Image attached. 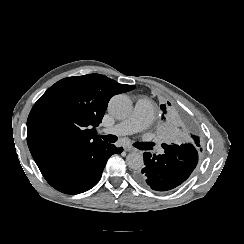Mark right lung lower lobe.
Returning a JSON list of instances; mask_svg holds the SVG:
<instances>
[{"label":"right lung lower lobe","instance_id":"98d812e1","mask_svg":"<svg viewBox=\"0 0 244 244\" xmlns=\"http://www.w3.org/2000/svg\"><path fill=\"white\" fill-rule=\"evenodd\" d=\"M122 150L123 148H116L113 144L102 141L35 162L52 187L66 194H78L95 186L108 158Z\"/></svg>","mask_w":244,"mask_h":244}]
</instances>
